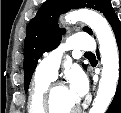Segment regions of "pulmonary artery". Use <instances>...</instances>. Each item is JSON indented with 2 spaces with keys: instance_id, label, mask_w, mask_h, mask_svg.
<instances>
[{
  "instance_id": "1",
  "label": "pulmonary artery",
  "mask_w": 121,
  "mask_h": 113,
  "mask_svg": "<svg viewBox=\"0 0 121 113\" xmlns=\"http://www.w3.org/2000/svg\"><path fill=\"white\" fill-rule=\"evenodd\" d=\"M65 42L67 47L58 48L45 55L37 67V73L54 79L57 76V72L65 50L74 49L89 52L94 49V44L91 36L84 33L74 34L67 38Z\"/></svg>"
}]
</instances>
